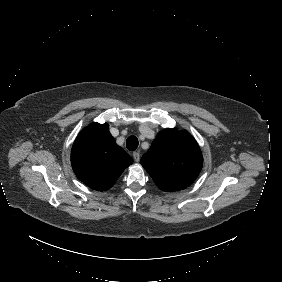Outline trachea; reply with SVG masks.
Segmentation results:
<instances>
[{"instance_id": "obj_1", "label": "trachea", "mask_w": 282, "mask_h": 282, "mask_svg": "<svg viewBox=\"0 0 282 282\" xmlns=\"http://www.w3.org/2000/svg\"><path fill=\"white\" fill-rule=\"evenodd\" d=\"M139 145V141L136 136H129L126 140V147L130 151H134L137 149Z\"/></svg>"}]
</instances>
